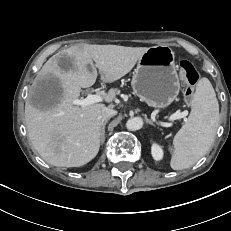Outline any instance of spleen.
Instances as JSON below:
<instances>
[{
  "label": "spleen",
  "instance_id": "3e777b00",
  "mask_svg": "<svg viewBox=\"0 0 231 231\" xmlns=\"http://www.w3.org/2000/svg\"><path fill=\"white\" fill-rule=\"evenodd\" d=\"M219 123V104L207 78L199 80L191 112L173 140L170 166L182 170L194 165L209 150Z\"/></svg>",
  "mask_w": 231,
  "mask_h": 231
}]
</instances>
